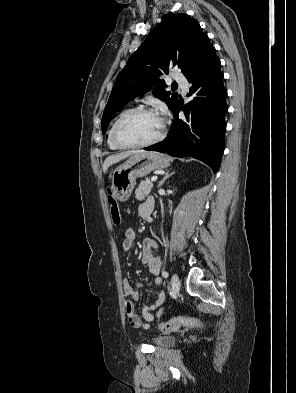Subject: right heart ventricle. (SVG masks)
Returning <instances> with one entry per match:
<instances>
[{"instance_id": "obj_1", "label": "right heart ventricle", "mask_w": 296, "mask_h": 393, "mask_svg": "<svg viewBox=\"0 0 296 393\" xmlns=\"http://www.w3.org/2000/svg\"><path fill=\"white\" fill-rule=\"evenodd\" d=\"M129 110H131V109L127 108V109L122 110V111L114 118V120L112 121V123H111V125H110V127H109V130H108V133H107V145H108V147H109L111 150H120V149H123V148L119 147V146L114 142V140H113V130H114V127H115V124L117 123V121H118L126 112H128Z\"/></svg>"}]
</instances>
